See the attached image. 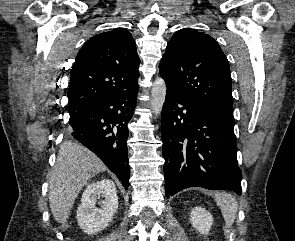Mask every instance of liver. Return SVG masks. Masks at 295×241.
Wrapping results in <instances>:
<instances>
[{
	"mask_svg": "<svg viewBox=\"0 0 295 241\" xmlns=\"http://www.w3.org/2000/svg\"><path fill=\"white\" fill-rule=\"evenodd\" d=\"M104 163L90 150L74 142H64L49 178V205L58 223L65 224L79 192L99 172Z\"/></svg>",
	"mask_w": 295,
	"mask_h": 241,
	"instance_id": "6515ba94",
	"label": "liver"
}]
</instances>
